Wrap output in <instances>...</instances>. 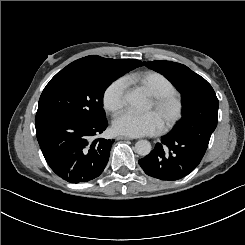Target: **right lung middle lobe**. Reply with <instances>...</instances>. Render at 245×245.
Instances as JSON below:
<instances>
[{
    "label": "right lung middle lobe",
    "instance_id": "obj_1",
    "mask_svg": "<svg viewBox=\"0 0 245 245\" xmlns=\"http://www.w3.org/2000/svg\"><path fill=\"white\" fill-rule=\"evenodd\" d=\"M137 68L129 60L87 56L57 73L44 88L35 122L50 118H73L88 122L106 119L103 94L117 78Z\"/></svg>",
    "mask_w": 245,
    "mask_h": 245
}]
</instances>
